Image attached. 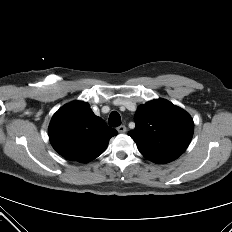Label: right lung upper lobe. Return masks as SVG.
I'll return each mask as SVG.
<instances>
[{
	"instance_id": "1",
	"label": "right lung upper lobe",
	"mask_w": 232,
	"mask_h": 232,
	"mask_svg": "<svg viewBox=\"0 0 232 232\" xmlns=\"http://www.w3.org/2000/svg\"><path fill=\"white\" fill-rule=\"evenodd\" d=\"M49 138L64 158L81 163L101 155L117 131L96 116L90 106L74 101L61 107L52 117Z\"/></svg>"
}]
</instances>
